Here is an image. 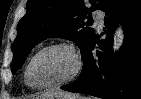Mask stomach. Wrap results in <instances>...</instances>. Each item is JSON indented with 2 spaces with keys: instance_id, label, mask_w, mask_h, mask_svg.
<instances>
[{
  "instance_id": "1",
  "label": "stomach",
  "mask_w": 141,
  "mask_h": 99,
  "mask_svg": "<svg viewBox=\"0 0 141 99\" xmlns=\"http://www.w3.org/2000/svg\"><path fill=\"white\" fill-rule=\"evenodd\" d=\"M37 99H52V98L48 95H42V96L38 97Z\"/></svg>"
}]
</instances>
